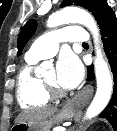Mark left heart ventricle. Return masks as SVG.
Segmentation results:
<instances>
[{
	"label": "left heart ventricle",
	"mask_w": 117,
	"mask_h": 131,
	"mask_svg": "<svg viewBox=\"0 0 117 131\" xmlns=\"http://www.w3.org/2000/svg\"><path fill=\"white\" fill-rule=\"evenodd\" d=\"M44 79L48 82H52V83H57L56 81V71L55 70H51L45 77Z\"/></svg>",
	"instance_id": "obj_1"
}]
</instances>
